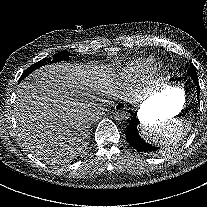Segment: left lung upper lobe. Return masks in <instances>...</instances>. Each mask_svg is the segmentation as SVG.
<instances>
[{
    "label": "left lung upper lobe",
    "instance_id": "obj_1",
    "mask_svg": "<svg viewBox=\"0 0 207 207\" xmlns=\"http://www.w3.org/2000/svg\"><path fill=\"white\" fill-rule=\"evenodd\" d=\"M189 74H190V76L197 74L196 68L192 63H190Z\"/></svg>",
    "mask_w": 207,
    "mask_h": 207
}]
</instances>
